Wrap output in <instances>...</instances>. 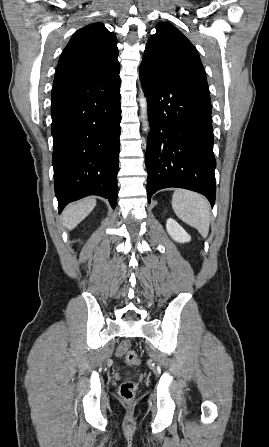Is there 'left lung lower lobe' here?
Segmentation results:
<instances>
[{"label": "left lung lower lobe", "mask_w": 269, "mask_h": 447, "mask_svg": "<svg viewBox=\"0 0 269 447\" xmlns=\"http://www.w3.org/2000/svg\"><path fill=\"white\" fill-rule=\"evenodd\" d=\"M140 78L151 125L146 149L147 195L178 187L205 195L216 185L210 95L193 83L142 62Z\"/></svg>", "instance_id": "0a47b994"}]
</instances>
